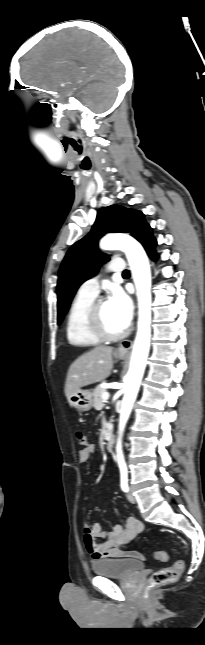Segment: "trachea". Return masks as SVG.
I'll use <instances>...</instances> for the list:
<instances>
[{
	"label": "trachea",
	"instance_id": "trachea-1",
	"mask_svg": "<svg viewBox=\"0 0 205 645\" xmlns=\"http://www.w3.org/2000/svg\"><path fill=\"white\" fill-rule=\"evenodd\" d=\"M123 275H129V270H125V271L123 272Z\"/></svg>",
	"mask_w": 205,
	"mask_h": 645
}]
</instances>
